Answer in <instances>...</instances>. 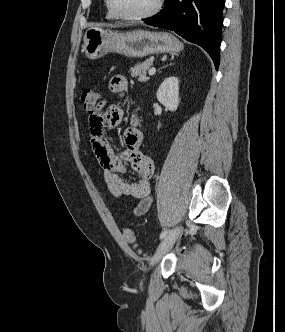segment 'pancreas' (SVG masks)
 <instances>
[{
  "mask_svg": "<svg viewBox=\"0 0 285 332\" xmlns=\"http://www.w3.org/2000/svg\"><path fill=\"white\" fill-rule=\"evenodd\" d=\"M152 64L153 61L150 59H147L143 63L136 64L134 67L130 69L131 76L136 77L140 82L148 81L149 78L146 76V72Z\"/></svg>",
  "mask_w": 285,
  "mask_h": 332,
  "instance_id": "1",
  "label": "pancreas"
}]
</instances>
